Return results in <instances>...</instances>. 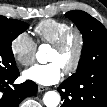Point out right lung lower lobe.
Instances as JSON below:
<instances>
[{
  "mask_svg": "<svg viewBox=\"0 0 107 107\" xmlns=\"http://www.w3.org/2000/svg\"><path fill=\"white\" fill-rule=\"evenodd\" d=\"M19 76V71L0 78V107H18L20 102L28 97L33 96L37 92V85L31 80H27L22 84L13 85L15 79Z\"/></svg>",
  "mask_w": 107,
  "mask_h": 107,
  "instance_id": "obj_1",
  "label": "right lung lower lobe"
}]
</instances>
